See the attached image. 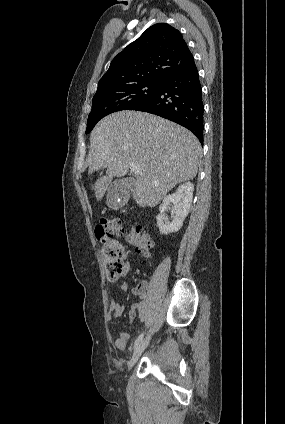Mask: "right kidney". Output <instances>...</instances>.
Listing matches in <instances>:
<instances>
[{
	"instance_id": "obj_1",
	"label": "right kidney",
	"mask_w": 285,
	"mask_h": 424,
	"mask_svg": "<svg viewBox=\"0 0 285 424\" xmlns=\"http://www.w3.org/2000/svg\"><path fill=\"white\" fill-rule=\"evenodd\" d=\"M193 191L194 185L190 182H186L181 184L175 193L164 198L163 203L159 207L160 213L156 217L161 234L168 235L181 229L183 221L187 217L192 204ZM170 205H173V220L168 222L165 211Z\"/></svg>"
}]
</instances>
